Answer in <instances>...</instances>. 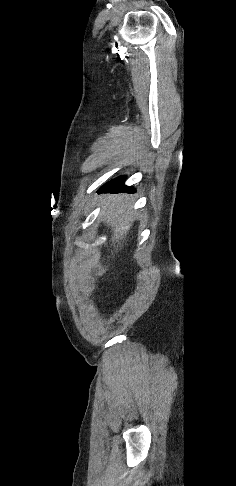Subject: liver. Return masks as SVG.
<instances>
[{"mask_svg": "<svg viewBox=\"0 0 236 486\" xmlns=\"http://www.w3.org/2000/svg\"><path fill=\"white\" fill-rule=\"evenodd\" d=\"M103 203L104 222L105 225L112 228V243L117 251L118 245H121V241L125 240L134 220L129 197L121 194L107 195L104 197ZM116 243L117 246H115ZM99 274L101 273L99 272Z\"/></svg>", "mask_w": 236, "mask_h": 486, "instance_id": "liver-1", "label": "liver"}]
</instances>
